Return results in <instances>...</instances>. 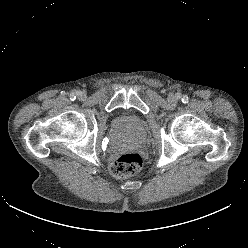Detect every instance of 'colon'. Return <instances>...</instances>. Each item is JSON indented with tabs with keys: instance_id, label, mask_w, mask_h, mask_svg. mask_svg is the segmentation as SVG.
<instances>
[{
	"instance_id": "5ec220e1",
	"label": "colon",
	"mask_w": 248,
	"mask_h": 248,
	"mask_svg": "<svg viewBox=\"0 0 248 248\" xmlns=\"http://www.w3.org/2000/svg\"><path fill=\"white\" fill-rule=\"evenodd\" d=\"M144 167V160L138 153L125 154L114 160L110 172L118 178H126L139 174Z\"/></svg>"
}]
</instances>
